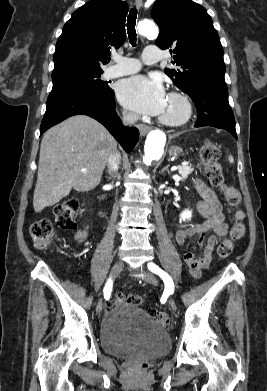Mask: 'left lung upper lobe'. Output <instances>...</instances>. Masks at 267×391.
I'll return each instance as SVG.
<instances>
[{"mask_svg":"<svg viewBox=\"0 0 267 391\" xmlns=\"http://www.w3.org/2000/svg\"><path fill=\"white\" fill-rule=\"evenodd\" d=\"M151 16L160 27L156 45L180 68L165 73L183 92L214 83L226 86L223 48L211 17L192 0H156Z\"/></svg>","mask_w":267,"mask_h":391,"instance_id":"obj_1","label":"left lung upper lobe"}]
</instances>
